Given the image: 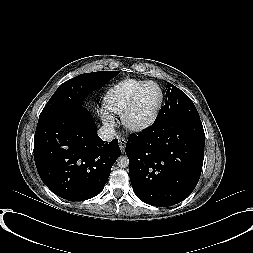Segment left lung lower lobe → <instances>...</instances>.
<instances>
[{"label": "left lung lower lobe", "mask_w": 253, "mask_h": 253, "mask_svg": "<svg viewBox=\"0 0 253 253\" xmlns=\"http://www.w3.org/2000/svg\"><path fill=\"white\" fill-rule=\"evenodd\" d=\"M204 145L200 119L173 120L131 135L126 154L136 196L158 207L183 201L199 181Z\"/></svg>", "instance_id": "1"}]
</instances>
